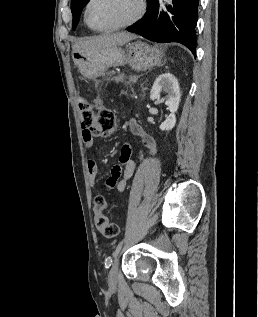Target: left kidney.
<instances>
[{"label": "left kidney", "mask_w": 258, "mask_h": 317, "mask_svg": "<svg viewBox=\"0 0 258 317\" xmlns=\"http://www.w3.org/2000/svg\"><path fill=\"white\" fill-rule=\"evenodd\" d=\"M162 90L167 92L165 104H167L170 114L166 116V120L160 124L159 128H161V130H171L176 124L175 112L178 110L181 96L178 78H176L174 74H171V72H162V74H159L156 80H154V84L150 90L151 100L160 98Z\"/></svg>", "instance_id": "obj_1"}]
</instances>
